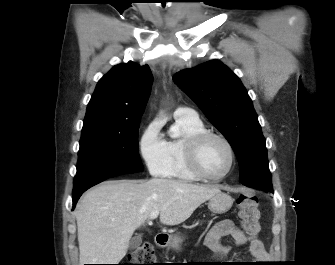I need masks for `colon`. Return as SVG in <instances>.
<instances>
[{"instance_id": "obj_1", "label": "colon", "mask_w": 335, "mask_h": 265, "mask_svg": "<svg viewBox=\"0 0 335 265\" xmlns=\"http://www.w3.org/2000/svg\"><path fill=\"white\" fill-rule=\"evenodd\" d=\"M237 204L244 229L249 234H256L260 228V211L256 197L250 192H244L239 196ZM154 260L153 246L145 243L133 251L129 259L130 264L125 265H153Z\"/></svg>"}]
</instances>
